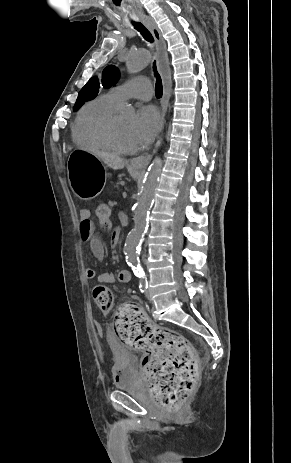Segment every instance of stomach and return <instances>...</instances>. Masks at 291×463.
<instances>
[{"label": "stomach", "instance_id": "0dacf381", "mask_svg": "<svg viewBox=\"0 0 291 463\" xmlns=\"http://www.w3.org/2000/svg\"><path fill=\"white\" fill-rule=\"evenodd\" d=\"M67 174L74 194L82 200H91L104 184V169L100 159L90 152L76 149L69 154Z\"/></svg>", "mask_w": 291, "mask_h": 463}]
</instances>
